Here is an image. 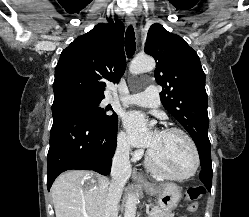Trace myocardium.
Listing matches in <instances>:
<instances>
[{"mask_svg": "<svg viewBox=\"0 0 249 217\" xmlns=\"http://www.w3.org/2000/svg\"><path fill=\"white\" fill-rule=\"evenodd\" d=\"M162 132L181 134L188 141V143L193 151L194 163H193L191 170L185 174H182V175L171 174V173H168V172L162 170L156 164V162L153 159L151 150H148V152L146 154V162H147V165L149 166L150 170L154 174H156L162 178L169 179V180L181 181V180L189 179L192 176H194L199 168V165H200V154H199V150H198V147H197L194 139L191 137V135L187 131H185L181 128H178V127H167L165 129H163Z\"/></svg>", "mask_w": 249, "mask_h": 217, "instance_id": "obj_1", "label": "myocardium"}]
</instances>
